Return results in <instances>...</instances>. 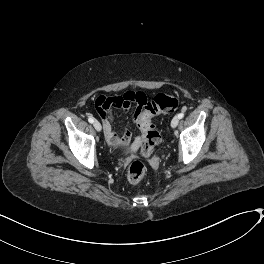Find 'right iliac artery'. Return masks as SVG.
<instances>
[{
  "label": "right iliac artery",
  "mask_w": 264,
  "mask_h": 264,
  "mask_svg": "<svg viewBox=\"0 0 264 264\" xmlns=\"http://www.w3.org/2000/svg\"><path fill=\"white\" fill-rule=\"evenodd\" d=\"M88 121H89L90 123H93V122H94V118L89 117V118H88Z\"/></svg>",
  "instance_id": "obj_1"
}]
</instances>
